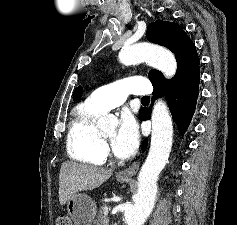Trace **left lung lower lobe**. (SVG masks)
<instances>
[{
    "mask_svg": "<svg viewBox=\"0 0 237 225\" xmlns=\"http://www.w3.org/2000/svg\"><path fill=\"white\" fill-rule=\"evenodd\" d=\"M200 75H194L183 81L172 83L166 86H159L154 89L152 102L155 99L165 96L168 107L172 114L173 120L177 123L180 133L184 134L191 122L196 109L197 98L199 95ZM151 108L140 109L141 120H149L151 118ZM148 139L144 142L146 149Z\"/></svg>",
    "mask_w": 237,
    "mask_h": 225,
    "instance_id": "0a47b994",
    "label": "left lung lower lobe"
}]
</instances>
